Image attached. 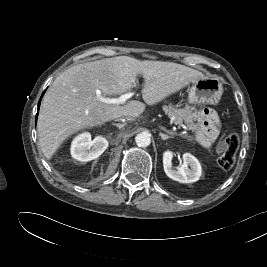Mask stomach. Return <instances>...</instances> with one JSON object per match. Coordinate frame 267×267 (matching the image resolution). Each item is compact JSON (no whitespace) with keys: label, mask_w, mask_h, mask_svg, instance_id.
I'll return each mask as SVG.
<instances>
[{"label":"stomach","mask_w":267,"mask_h":267,"mask_svg":"<svg viewBox=\"0 0 267 267\" xmlns=\"http://www.w3.org/2000/svg\"><path fill=\"white\" fill-rule=\"evenodd\" d=\"M223 86L218 77L203 76L192 82L188 102L190 104H217L222 96Z\"/></svg>","instance_id":"0dacf381"}]
</instances>
